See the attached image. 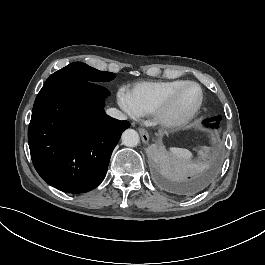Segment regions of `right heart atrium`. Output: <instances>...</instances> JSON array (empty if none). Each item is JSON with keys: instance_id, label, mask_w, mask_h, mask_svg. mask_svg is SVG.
<instances>
[{"instance_id": "1", "label": "right heart atrium", "mask_w": 265, "mask_h": 265, "mask_svg": "<svg viewBox=\"0 0 265 265\" xmlns=\"http://www.w3.org/2000/svg\"><path fill=\"white\" fill-rule=\"evenodd\" d=\"M119 109L124 116H130L133 113V108L129 103L128 94L125 91H120L117 94Z\"/></svg>"}]
</instances>
